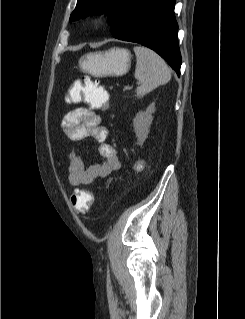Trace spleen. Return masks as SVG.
<instances>
[{"instance_id": "spleen-1", "label": "spleen", "mask_w": 245, "mask_h": 319, "mask_svg": "<svg viewBox=\"0 0 245 319\" xmlns=\"http://www.w3.org/2000/svg\"><path fill=\"white\" fill-rule=\"evenodd\" d=\"M134 52L136 54L134 76L140 83L136 89L138 97H143L170 81L171 70L157 53L144 46L134 47Z\"/></svg>"}]
</instances>
